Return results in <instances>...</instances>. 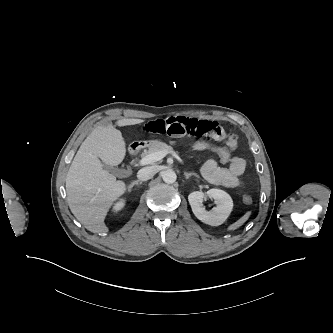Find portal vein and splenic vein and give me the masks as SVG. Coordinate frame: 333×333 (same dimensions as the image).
Instances as JSON below:
<instances>
[{
	"label": "portal vein and splenic vein",
	"instance_id": "18ae733b",
	"mask_svg": "<svg viewBox=\"0 0 333 333\" xmlns=\"http://www.w3.org/2000/svg\"><path fill=\"white\" fill-rule=\"evenodd\" d=\"M168 153H171L172 156H174L179 162L183 163V160L175 152L157 151V152L150 153V154L144 156L139 161V164L142 165V166L153 164V163L163 159Z\"/></svg>",
	"mask_w": 333,
	"mask_h": 333
}]
</instances>
